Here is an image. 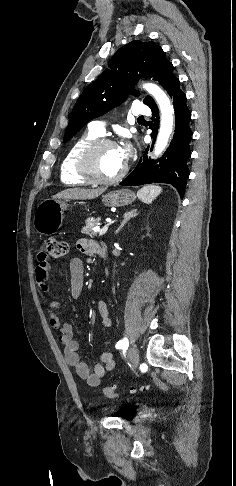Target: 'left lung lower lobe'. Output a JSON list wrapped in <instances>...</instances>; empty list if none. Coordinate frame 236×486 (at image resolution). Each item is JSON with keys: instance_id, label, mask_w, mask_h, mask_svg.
Masks as SVG:
<instances>
[{"instance_id": "0a47b994", "label": "left lung lower lobe", "mask_w": 236, "mask_h": 486, "mask_svg": "<svg viewBox=\"0 0 236 486\" xmlns=\"http://www.w3.org/2000/svg\"><path fill=\"white\" fill-rule=\"evenodd\" d=\"M179 84V79L174 77L164 86L173 99L176 114L175 133L168 150L160 159L150 160L147 157V148L139 161V165L120 185L137 186L150 183H167L173 185L183 198L186 181L189 177L187 161L191 155L189 143L193 133L189 127L191 113L186 106L185 93L181 91ZM148 106L152 110V120L155 122L150 125V129L153 131L151 136L155 138L158 129L156 122H159V110L154 101Z\"/></svg>"}]
</instances>
